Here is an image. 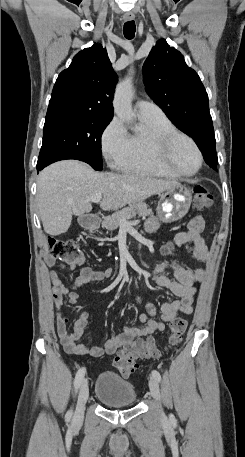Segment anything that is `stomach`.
<instances>
[{"label":"stomach","instance_id":"stomach-1","mask_svg":"<svg viewBox=\"0 0 245 457\" xmlns=\"http://www.w3.org/2000/svg\"><path fill=\"white\" fill-rule=\"evenodd\" d=\"M191 200V192L184 184H174V186L166 188L158 202L157 214L160 220L173 222V220L183 218L190 208ZM79 222L88 231L97 229V222H93V220H87V218L84 220L80 216Z\"/></svg>","mask_w":245,"mask_h":457}]
</instances>
